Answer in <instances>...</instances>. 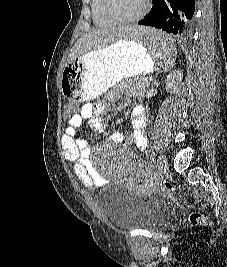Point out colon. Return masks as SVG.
Segmentation results:
<instances>
[{"label": "colon", "mask_w": 227, "mask_h": 267, "mask_svg": "<svg viewBox=\"0 0 227 267\" xmlns=\"http://www.w3.org/2000/svg\"><path fill=\"white\" fill-rule=\"evenodd\" d=\"M75 110H77V105H65L66 114H63V119H72V116H76ZM164 188H166L167 190H175V186L168 181L164 182ZM190 220L195 223L206 222V219L198 211L192 212L190 214Z\"/></svg>", "instance_id": "obj_1"}]
</instances>
